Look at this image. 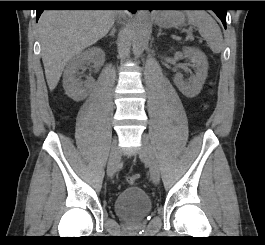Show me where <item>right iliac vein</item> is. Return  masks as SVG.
<instances>
[{
	"label": "right iliac vein",
	"mask_w": 265,
	"mask_h": 245,
	"mask_svg": "<svg viewBox=\"0 0 265 245\" xmlns=\"http://www.w3.org/2000/svg\"><path fill=\"white\" fill-rule=\"evenodd\" d=\"M118 161H119V148H118L117 139H115L111 147L109 161L107 165V174L109 177H113L114 174L116 173L118 168Z\"/></svg>",
	"instance_id": "63e3f726"
}]
</instances>
